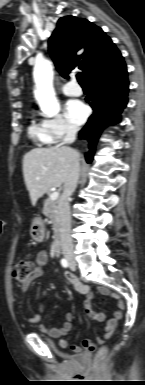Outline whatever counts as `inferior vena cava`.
Wrapping results in <instances>:
<instances>
[{
  "mask_svg": "<svg viewBox=\"0 0 145 385\" xmlns=\"http://www.w3.org/2000/svg\"><path fill=\"white\" fill-rule=\"evenodd\" d=\"M78 128L74 125H68L66 135L61 145L73 143L76 139ZM80 175V165L78 161H74L63 185V192L58 203V213L60 220L61 247L65 257L73 255V242L71 237V215L70 200L71 195L76 189Z\"/></svg>",
  "mask_w": 145,
  "mask_h": 385,
  "instance_id": "obj_1",
  "label": "inferior vena cava"
}]
</instances>
